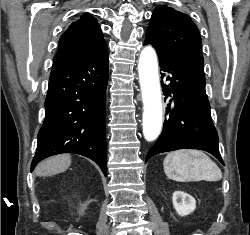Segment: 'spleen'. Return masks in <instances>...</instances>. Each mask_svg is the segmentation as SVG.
<instances>
[{"label": "spleen", "mask_w": 250, "mask_h": 235, "mask_svg": "<svg viewBox=\"0 0 250 235\" xmlns=\"http://www.w3.org/2000/svg\"><path fill=\"white\" fill-rule=\"evenodd\" d=\"M163 166L166 176L178 182L222 179V172L216 163L198 150L171 152L165 157Z\"/></svg>", "instance_id": "spleen-1"}]
</instances>
